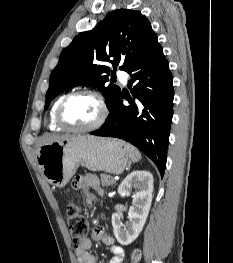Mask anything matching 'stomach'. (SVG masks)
I'll return each instance as SVG.
<instances>
[{
  "mask_svg": "<svg viewBox=\"0 0 233 263\" xmlns=\"http://www.w3.org/2000/svg\"><path fill=\"white\" fill-rule=\"evenodd\" d=\"M36 159L45 179L62 188L80 164L91 171L122 173L129 154L121 140L78 135L42 145L36 151Z\"/></svg>",
  "mask_w": 233,
  "mask_h": 263,
  "instance_id": "stomach-1",
  "label": "stomach"
}]
</instances>
